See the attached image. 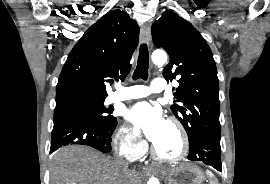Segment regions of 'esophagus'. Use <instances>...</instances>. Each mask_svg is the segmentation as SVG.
<instances>
[{"label":"esophagus","instance_id":"obj_1","mask_svg":"<svg viewBox=\"0 0 270 184\" xmlns=\"http://www.w3.org/2000/svg\"><path fill=\"white\" fill-rule=\"evenodd\" d=\"M150 39H151L150 25L149 24H144L141 27V30H140V41L142 43L149 44ZM143 171L144 172H150L151 168L150 167H143Z\"/></svg>","mask_w":270,"mask_h":184}]
</instances>
